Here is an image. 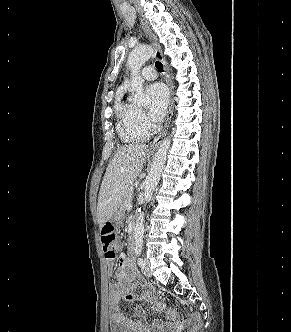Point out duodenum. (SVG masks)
<instances>
[{"label":"duodenum","mask_w":291,"mask_h":332,"mask_svg":"<svg viewBox=\"0 0 291 332\" xmlns=\"http://www.w3.org/2000/svg\"><path fill=\"white\" fill-rule=\"evenodd\" d=\"M131 228L132 229H135V227H136V222H135V220H132V222H131ZM130 250L132 251L133 250V242H131L130 243Z\"/></svg>","instance_id":"obj_1"}]
</instances>
